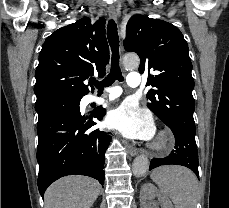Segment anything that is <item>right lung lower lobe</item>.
<instances>
[{"instance_id": "98d812e1", "label": "right lung lower lobe", "mask_w": 229, "mask_h": 208, "mask_svg": "<svg viewBox=\"0 0 229 208\" xmlns=\"http://www.w3.org/2000/svg\"><path fill=\"white\" fill-rule=\"evenodd\" d=\"M105 113L102 107L89 115H82L79 107L71 108L37 126L38 189L42 197L51 183L71 174L93 177L103 185L105 151L111 138L99 129H89L96 124L93 119L101 120Z\"/></svg>"}]
</instances>
